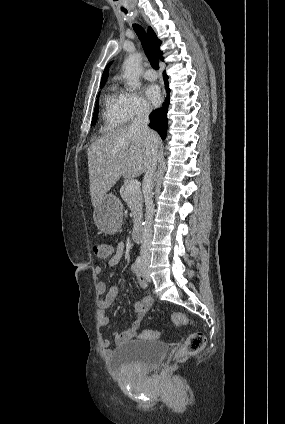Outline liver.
Instances as JSON below:
<instances>
[{"instance_id":"obj_1","label":"liver","mask_w":285,"mask_h":424,"mask_svg":"<svg viewBox=\"0 0 285 424\" xmlns=\"http://www.w3.org/2000/svg\"><path fill=\"white\" fill-rule=\"evenodd\" d=\"M159 145L156 133L148 140L131 126L94 141L87 151L92 205L96 207L122 176L133 178L146 172L151 149Z\"/></svg>"}]
</instances>
